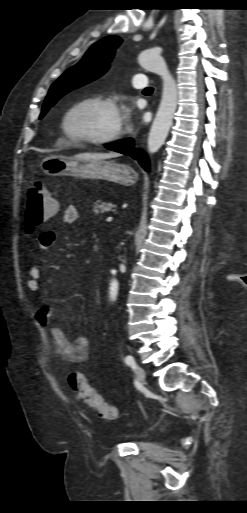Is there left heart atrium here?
I'll return each mask as SVG.
<instances>
[{
  "instance_id": "left-heart-atrium-1",
  "label": "left heart atrium",
  "mask_w": 247,
  "mask_h": 513,
  "mask_svg": "<svg viewBox=\"0 0 247 513\" xmlns=\"http://www.w3.org/2000/svg\"><path fill=\"white\" fill-rule=\"evenodd\" d=\"M118 115L120 122H125L129 117V111L127 109H123L118 113Z\"/></svg>"
}]
</instances>
